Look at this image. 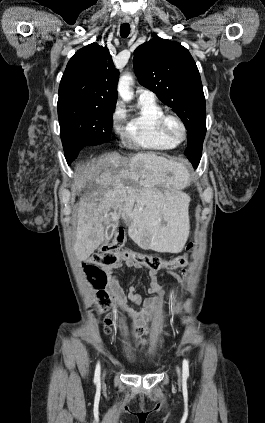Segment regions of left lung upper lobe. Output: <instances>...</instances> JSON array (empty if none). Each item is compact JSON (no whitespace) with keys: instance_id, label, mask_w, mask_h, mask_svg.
Wrapping results in <instances>:
<instances>
[{"instance_id":"left-lung-upper-lobe-1","label":"left lung upper lobe","mask_w":265,"mask_h":423,"mask_svg":"<svg viewBox=\"0 0 265 423\" xmlns=\"http://www.w3.org/2000/svg\"><path fill=\"white\" fill-rule=\"evenodd\" d=\"M139 82L181 118L188 131L185 155L200 162L206 133V103L198 68L189 51L175 41L155 37L134 51Z\"/></svg>"}]
</instances>
